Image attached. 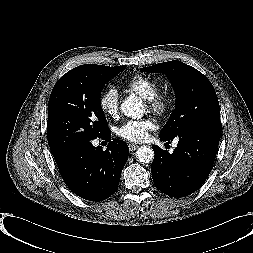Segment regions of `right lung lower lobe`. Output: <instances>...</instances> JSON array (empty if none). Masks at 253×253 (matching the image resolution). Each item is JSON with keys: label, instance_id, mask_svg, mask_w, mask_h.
Masks as SVG:
<instances>
[{"label": "right lung lower lobe", "instance_id": "1", "mask_svg": "<svg viewBox=\"0 0 253 253\" xmlns=\"http://www.w3.org/2000/svg\"><path fill=\"white\" fill-rule=\"evenodd\" d=\"M100 138L109 142L105 151L100 146L94 147L91 140L85 141L56 162L69 189L90 201H102L117 191L129 155V148L124 141H110V130Z\"/></svg>", "mask_w": 253, "mask_h": 253}]
</instances>
